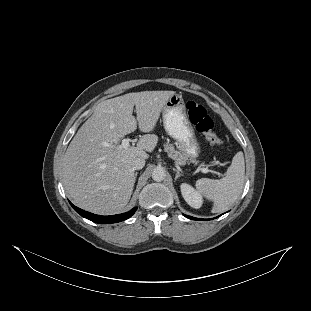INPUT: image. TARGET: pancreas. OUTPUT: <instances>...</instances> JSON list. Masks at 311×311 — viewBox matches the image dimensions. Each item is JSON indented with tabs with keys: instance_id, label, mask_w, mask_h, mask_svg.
Segmentation results:
<instances>
[{
	"instance_id": "cf45deb5",
	"label": "pancreas",
	"mask_w": 311,
	"mask_h": 311,
	"mask_svg": "<svg viewBox=\"0 0 311 311\" xmlns=\"http://www.w3.org/2000/svg\"><path fill=\"white\" fill-rule=\"evenodd\" d=\"M164 151L175 161V164L184 166L189 160L182 151L176 150L172 144H164ZM189 162L198 163L196 160H189Z\"/></svg>"
}]
</instances>
